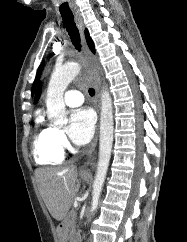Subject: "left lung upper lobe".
Segmentation results:
<instances>
[{"label":"left lung upper lobe","mask_w":187,"mask_h":242,"mask_svg":"<svg viewBox=\"0 0 187 242\" xmlns=\"http://www.w3.org/2000/svg\"><path fill=\"white\" fill-rule=\"evenodd\" d=\"M42 69H43V63L40 65V67H39V69L37 71V75H36L35 81H34L33 86H32V95H33V93L35 91V87H36V85L38 83V80H39V77H40Z\"/></svg>","instance_id":"left-lung-upper-lobe-1"}]
</instances>
